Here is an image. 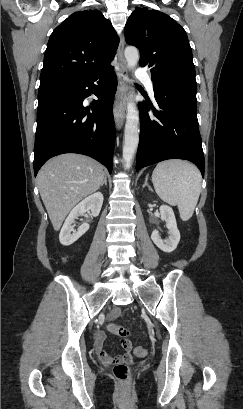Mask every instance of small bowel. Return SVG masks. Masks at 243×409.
I'll return each instance as SVG.
<instances>
[{"mask_svg":"<svg viewBox=\"0 0 243 409\" xmlns=\"http://www.w3.org/2000/svg\"><path fill=\"white\" fill-rule=\"evenodd\" d=\"M119 309L114 310L110 314V318H115L119 316ZM106 335L103 331H96L93 335L92 338V345L93 349L98 356L99 360L105 364H114L120 361L123 362H131L132 360V343L128 339H123L121 341V345L125 350L124 355L122 356H117V357H112L104 348V342H105Z\"/></svg>","mask_w":243,"mask_h":409,"instance_id":"1","label":"small bowel"}]
</instances>
